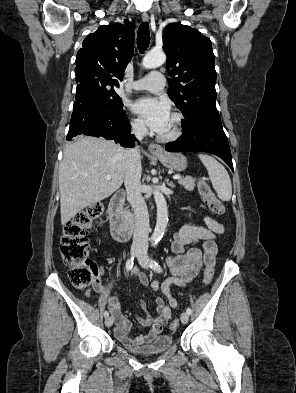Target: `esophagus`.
Segmentation results:
<instances>
[{
  "mask_svg": "<svg viewBox=\"0 0 296 393\" xmlns=\"http://www.w3.org/2000/svg\"><path fill=\"white\" fill-rule=\"evenodd\" d=\"M142 19L145 22H147L149 20V16L146 12L142 14ZM149 151L154 155H158V154H162L163 148H162V146H160L158 144L151 143V144H149Z\"/></svg>",
  "mask_w": 296,
  "mask_h": 393,
  "instance_id": "obj_1",
  "label": "esophagus"
}]
</instances>
